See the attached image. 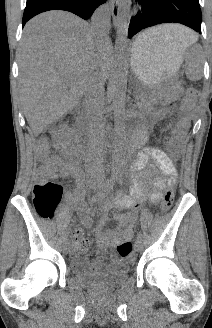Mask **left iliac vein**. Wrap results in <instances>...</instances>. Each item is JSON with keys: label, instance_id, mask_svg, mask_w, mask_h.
<instances>
[{"label": "left iliac vein", "instance_id": "left-iliac-vein-1", "mask_svg": "<svg viewBox=\"0 0 212 328\" xmlns=\"http://www.w3.org/2000/svg\"><path fill=\"white\" fill-rule=\"evenodd\" d=\"M109 187H110V184H109V183L103 185L104 190H108ZM142 247H143L142 240L137 239V240L135 241V243H134V248H135V250H136L137 252H140V251L142 250Z\"/></svg>", "mask_w": 212, "mask_h": 328}]
</instances>
